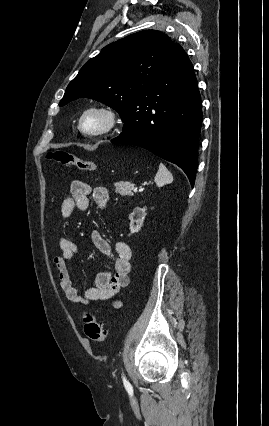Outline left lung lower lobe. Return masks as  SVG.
Returning <instances> with one entry per match:
<instances>
[{"mask_svg": "<svg viewBox=\"0 0 269 426\" xmlns=\"http://www.w3.org/2000/svg\"><path fill=\"white\" fill-rule=\"evenodd\" d=\"M202 118L192 63L175 43L152 76L149 89L127 108L123 131L111 142L145 148L178 165L193 187Z\"/></svg>", "mask_w": 269, "mask_h": 426, "instance_id": "obj_1", "label": "left lung lower lobe"}]
</instances>
